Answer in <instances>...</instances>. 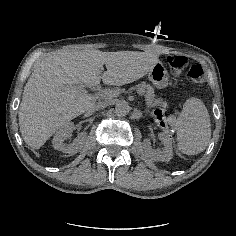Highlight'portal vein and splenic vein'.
<instances>
[{
    "label": "portal vein and splenic vein",
    "instance_id": "obj_1",
    "mask_svg": "<svg viewBox=\"0 0 236 236\" xmlns=\"http://www.w3.org/2000/svg\"><path fill=\"white\" fill-rule=\"evenodd\" d=\"M78 86L81 90L86 91V88H87L86 84H79ZM94 89L96 90L97 93L101 94L102 97L105 96V91H103L102 89H96V88Z\"/></svg>",
    "mask_w": 236,
    "mask_h": 236
}]
</instances>
